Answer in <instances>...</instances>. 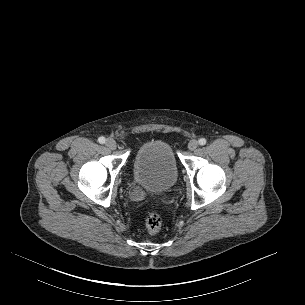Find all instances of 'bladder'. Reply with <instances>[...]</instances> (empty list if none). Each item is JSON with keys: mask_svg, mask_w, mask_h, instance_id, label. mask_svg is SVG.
I'll list each match as a JSON object with an SVG mask.
<instances>
[{"mask_svg": "<svg viewBox=\"0 0 305 305\" xmlns=\"http://www.w3.org/2000/svg\"><path fill=\"white\" fill-rule=\"evenodd\" d=\"M132 177L149 192L172 189L178 181V169L171 146L162 139L142 143L132 159Z\"/></svg>", "mask_w": 305, "mask_h": 305, "instance_id": "31cf9c89", "label": "bladder"}]
</instances>
